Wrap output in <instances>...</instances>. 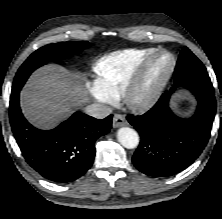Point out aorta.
<instances>
[{
  "mask_svg": "<svg viewBox=\"0 0 222 219\" xmlns=\"http://www.w3.org/2000/svg\"><path fill=\"white\" fill-rule=\"evenodd\" d=\"M117 139L119 143L127 149H133L139 144L137 132L129 127L120 128L117 132Z\"/></svg>",
  "mask_w": 222,
  "mask_h": 219,
  "instance_id": "1",
  "label": "aorta"
}]
</instances>
